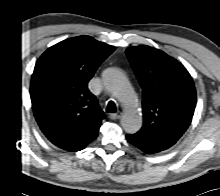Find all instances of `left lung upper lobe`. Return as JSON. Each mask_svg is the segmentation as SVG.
Segmentation results:
<instances>
[{
  "instance_id": "left-lung-upper-lobe-1",
  "label": "left lung upper lobe",
  "mask_w": 220,
  "mask_h": 196,
  "mask_svg": "<svg viewBox=\"0 0 220 196\" xmlns=\"http://www.w3.org/2000/svg\"><path fill=\"white\" fill-rule=\"evenodd\" d=\"M126 54L143 88L144 124L137 134L166 150L184 134L196 106L193 80L184 66L161 50L131 47Z\"/></svg>"
}]
</instances>
